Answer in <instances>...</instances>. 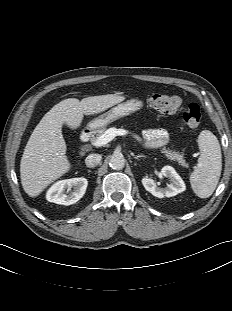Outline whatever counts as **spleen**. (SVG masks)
<instances>
[{"mask_svg": "<svg viewBox=\"0 0 232 311\" xmlns=\"http://www.w3.org/2000/svg\"><path fill=\"white\" fill-rule=\"evenodd\" d=\"M198 144L200 156L197 166L190 175V183L198 197L208 198L216 189L221 175V147L217 137L209 130H203L199 134Z\"/></svg>", "mask_w": 232, "mask_h": 311, "instance_id": "3e777b00", "label": "spleen"}]
</instances>
